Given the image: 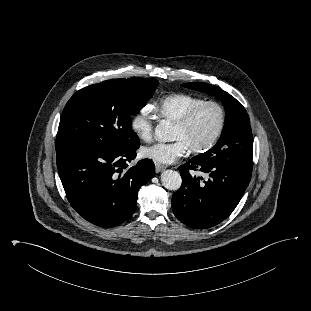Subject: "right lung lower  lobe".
I'll list each match as a JSON object with an SVG mask.
<instances>
[{
  "instance_id": "obj_1",
  "label": "right lung lower lobe",
  "mask_w": 311,
  "mask_h": 311,
  "mask_svg": "<svg viewBox=\"0 0 311 311\" xmlns=\"http://www.w3.org/2000/svg\"><path fill=\"white\" fill-rule=\"evenodd\" d=\"M138 148L122 153L86 149L56 152L67 199L80 216L94 225L109 228L133 215L138 190L150 181L155 171L149 159L126 169Z\"/></svg>"
}]
</instances>
